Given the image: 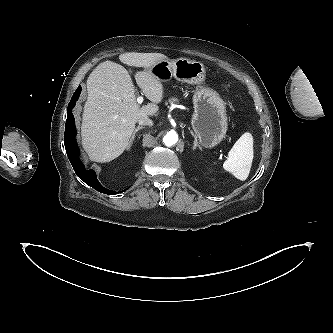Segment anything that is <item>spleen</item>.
Returning <instances> with one entry per match:
<instances>
[{"mask_svg": "<svg viewBox=\"0 0 333 333\" xmlns=\"http://www.w3.org/2000/svg\"><path fill=\"white\" fill-rule=\"evenodd\" d=\"M253 161V138L248 132L244 133L233 145L223 168L237 179L244 181L250 173Z\"/></svg>", "mask_w": 333, "mask_h": 333, "instance_id": "3e777b00", "label": "spleen"}]
</instances>
